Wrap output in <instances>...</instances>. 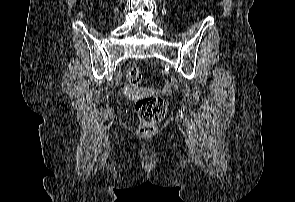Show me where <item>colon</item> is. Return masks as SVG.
<instances>
[{
	"instance_id": "1",
	"label": "colon",
	"mask_w": 295,
	"mask_h": 202,
	"mask_svg": "<svg viewBox=\"0 0 295 202\" xmlns=\"http://www.w3.org/2000/svg\"><path fill=\"white\" fill-rule=\"evenodd\" d=\"M126 77L131 85H140L143 81L142 72L136 66L127 69ZM135 108L140 120L138 132L141 135H150L154 132L157 123L164 117L166 103L158 96L140 98L136 102Z\"/></svg>"
}]
</instances>
